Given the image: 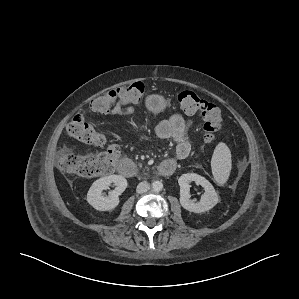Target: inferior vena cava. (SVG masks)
Listing matches in <instances>:
<instances>
[{"label":"inferior vena cava","mask_w":299,"mask_h":299,"mask_svg":"<svg viewBox=\"0 0 299 299\" xmlns=\"http://www.w3.org/2000/svg\"><path fill=\"white\" fill-rule=\"evenodd\" d=\"M150 189V184L146 181L140 182L137 186V193L142 194L147 192Z\"/></svg>","instance_id":"obj_1"}]
</instances>
